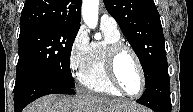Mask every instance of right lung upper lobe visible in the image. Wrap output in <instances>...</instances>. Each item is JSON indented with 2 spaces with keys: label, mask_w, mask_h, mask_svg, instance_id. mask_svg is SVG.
<instances>
[{
  "label": "right lung upper lobe",
  "mask_w": 193,
  "mask_h": 112,
  "mask_svg": "<svg viewBox=\"0 0 193 112\" xmlns=\"http://www.w3.org/2000/svg\"><path fill=\"white\" fill-rule=\"evenodd\" d=\"M82 0H26L20 30L45 24L80 27Z\"/></svg>",
  "instance_id": "right-lung-upper-lobe-1"
}]
</instances>
